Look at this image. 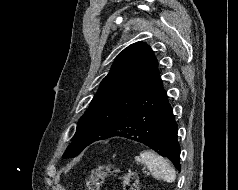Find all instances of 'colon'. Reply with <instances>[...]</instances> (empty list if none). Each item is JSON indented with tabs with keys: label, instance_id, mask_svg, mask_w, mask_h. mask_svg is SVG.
I'll use <instances>...</instances> for the list:
<instances>
[{
	"label": "colon",
	"instance_id": "5ec220e1",
	"mask_svg": "<svg viewBox=\"0 0 238 190\" xmlns=\"http://www.w3.org/2000/svg\"><path fill=\"white\" fill-rule=\"evenodd\" d=\"M114 173L120 175L123 190H139V179L135 172L119 170L109 164H100L90 171L86 180L85 190H101L107 177Z\"/></svg>",
	"mask_w": 238,
	"mask_h": 190
}]
</instances>
